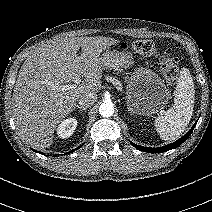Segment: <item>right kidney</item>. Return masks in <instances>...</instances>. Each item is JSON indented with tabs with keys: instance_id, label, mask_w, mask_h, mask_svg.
Here are the masks:
<instances>
[{
	"instance_id": "1",
	"label": "right kidney",
	"mask_w": 212,
	"mask_h": 212,
	"mask_svg": "<svg viewBox=\"0 0 212 212\" xmlns=\"http://www.w3.org/2000/svg\"><path fill=\"white\" fill-rule=\"evenodd\" d=\"M76 126L77 120L75 118L65 119L61 122V124H59L57 134L62 139L68 138L73 134Z\"/></svg>"
}]
</instances>
